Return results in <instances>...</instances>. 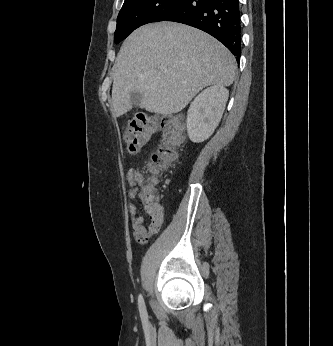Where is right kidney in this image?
I'll list each match as a JSON object with an SVG mask.
<instances>
[{
	"instance_id": "right-kidney-1",
	"label": "right kidney",
	"mask_w": 333,
	"mask_h": 346,
	"mask_svg": "<svg viewBox=\"0 0 333 346\" xmlns=\"http://www.w3.org/2000/svg\"><path fill=\"white\" fill-rule=\"evenodd\" d=\"M229 91L221 85H214L202 91L190 104L187 114L189 139L199 143L209 138L219 124Z\"/></svg>"
}]
</instances>
